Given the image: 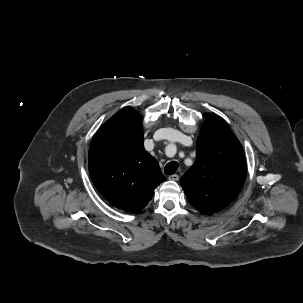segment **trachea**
<instances>
[{
  "label": "trachea",
  "instance_id": "obj_1",
  "mask_svg": "<svg viewBox=\"0 0 303 303\" xmlns=\"http://www.w3.org/2000/svg\"><path fill=\"white\" fill-rule=\"evenodd\" d=\"M178 169V163L176 161L169 162L165 168L164 171L167 175H173Z\"/></svg>",
  "mask_w": 303,
  "mask_h": 303
}]
</instances>
